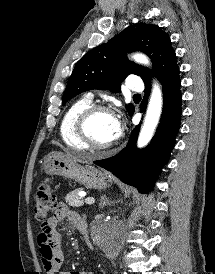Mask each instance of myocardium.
Masks as SVG:
<instances>
[{
  "instance_id": "f54148a6",
  "label": "myocardium",
  "mask_w": 215,
  "mask_h": 274,
  "mask_svg": "<svg viewBox=\"0 0 215 274\" xmlns=\"http://www.w3.org/2000/svg\"><path fill=\"white\" fill-rule=\"evenodd\" d=\"M101 112L109 113L114 115L111 108L102 105V104H91L85 108L77 117L75 123V131L79 140L87 147L96 151H103L111 148L118 141V136L115 140L106 144H99L94 141L90 132H89V123L92 118Z\"/></svg>"
}]
</instances>
